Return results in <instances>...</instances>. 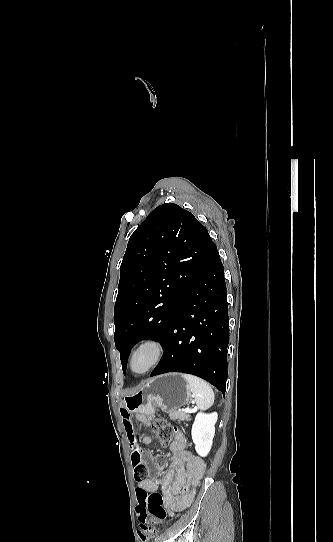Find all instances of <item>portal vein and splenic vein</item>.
<instances>
[{
  "label": "portal vein and splenic vein",
  "mask_w": 333,
  "mask_h": 542,
  "mask_svg": "<svg viewBox=\"0 0 333 542\" xmlns=\"http://www.w3.org/2000/svg\"><path fill=\"white\" fill-rule=\"evenodd\" d=\"M183 412H186V414H189V412H195V410H190V408H184Z\"/></svg>",
  "instance_id": "portal-vein-and-splenic-vein-1"
}]
</instances>
